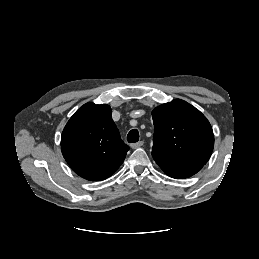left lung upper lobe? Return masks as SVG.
<instances>
[{
  "label": "left lung upper lobe",
  "mask_w": 259,
  "mask_h": 259,
  "mask_svg": "<svg viewBox=\"0 0 259 259\" xmlns=\"http://www.w3.org/2000/svg\"><path fill=\"white\" fill-rule=\"evenodd\" d=\"M155 126L153 158L205 165L214 146L212 127L189 103L175 99L152 111Z\"/></svg>",
  "instance_id": "1"
}]
</instances>
